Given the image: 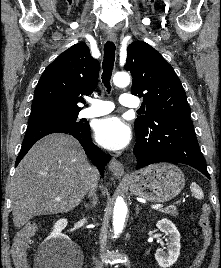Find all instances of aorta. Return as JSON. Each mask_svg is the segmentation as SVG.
Segmentation results:
<instances>
[{
  "label": "aorta",
  "mask_w": 221,
  "mask_h": 268,
  "mask_svg": "<svg viewBox=\"0 0 221 268\" xmlns=\"http://www.w3.org/2000/svg\"><path fill=\"white\" fill-rule=\"evenodd\" d=\"M130 75L125 72L116 73L113 77V83L118 87H126L130 83ZM127 214V206L122 197L116 199L113 212V229L115 237L122 232L125 218Z\"/></svg>",
  "instance_id": "aorta-1"
}]
</instances>
